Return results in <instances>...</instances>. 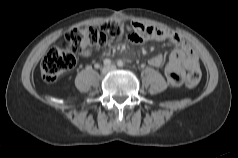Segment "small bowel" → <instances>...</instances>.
<instances>
[{
    "mask_svg": "<svg viewBox=\"0 0 238 158\" xmlns=\"http://www.w3.org/2000/svg\"><path fill=\"white\" fill-rule=\"evenodd\" d=\"M135 33L129 38L134 43L146 40L168 41L176 49L171 52L165 68L166 79L172 86H177L183 81L187 71L199 68V59L193 48L178 34L160 27L146 26L134 23ZM164 62L162 55H156L149 60L153 67H160Z\"/></svg>",
    "mask_w": 238,
    "mask_h": 158,
    "instance_id": "obj_1",
    "label": "small bowel"
}]
</instances>
